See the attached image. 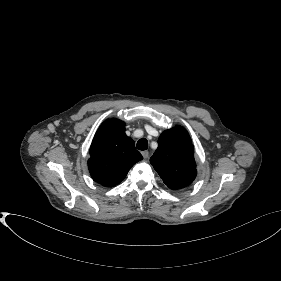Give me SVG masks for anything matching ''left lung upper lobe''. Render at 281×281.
<instances>
[{"label":"left lung upper lobe","mask_w":281,"mask_h":281,"mask_svg":"<svg viewBox=\"0 0 281 281\" xmlns=\"http://www.w3.org/2000/svg\"><path fill=\"white\" fill-rule=\"evenodd\" d=\"M150 163L170 189L189 186L197 170L194 147L188 132L181 126L165 130L158 139V148L150 158Z\"/></svg>","instance_id":"left-lung-upper-lobe-1"}]
</instances>
